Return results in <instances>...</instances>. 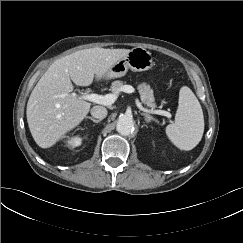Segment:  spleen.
<instances>
[{
    "instance_id": "3e777b00",
    "label": "spleen",
    "mask_w": 243,
    "mask_h": 243,
    "mask_svg": "<svg viewBox=\"0 0 243 243\" xmlns=\"http://www.w3.org/2000/svg\"><path fill=\"white\" fill-rule=\"evenodd\" d=\"M165 131L169 140L180 150H192L201 141L204 132L203 111L189 87L180 89L175 120L167 125Z\"/></svg>"
}]
</instances>
